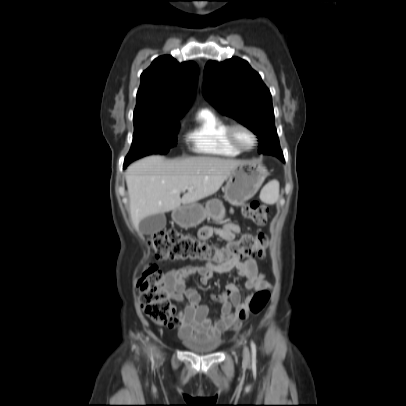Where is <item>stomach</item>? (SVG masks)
I'll return each instance as SVG.
<instances>
[{
  "label": "stomach",
  "mask_w": 406,
  "mask_h": 406,
  "mask_svg": "<svg viewBox=\"0 0 406 406\" xmlns=\"http://www.w3.org/2000/svg\"><path fill=\"white\" fill-rule=\"evenodd\" d=\"M267 175V170L256 162L241 164L227 178L225 199L232 205L243 204L256 194ZM224 216L225 207L218 199L209 200L205 206L193 203L172 212L173 220L182 227L197 226L207 217L221 222Z\"/></svg>",
  "instance_id": "1"
}]
</instances>
